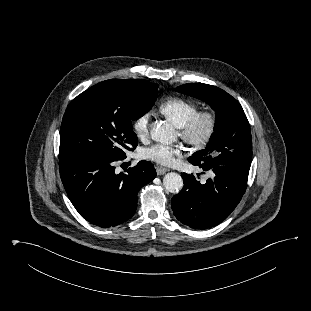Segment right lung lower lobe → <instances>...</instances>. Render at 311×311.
<instances>
[{
	"instance_id": "98d812e1",
	"label": "right lung lower lobe",
	"mask_w": 311,
	"mask_h": 311,
	"mask_svg": "<svg viewBox=\"0 0 311 311\" xmlns=\"http://www.w3.org/2000/svg\"><path fill=\"white\" fill-rule=\"evenodd\" d=\"M114 164L89 157L59 159L61 180L73 206L101 228L129 220L137 208L138 191L156 176L153 164L147 161H140L126 174H117Z\"/></svg>"
}]
</instances>
